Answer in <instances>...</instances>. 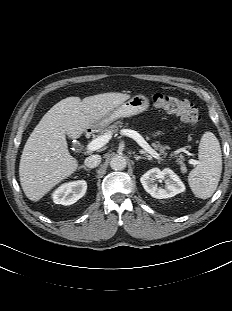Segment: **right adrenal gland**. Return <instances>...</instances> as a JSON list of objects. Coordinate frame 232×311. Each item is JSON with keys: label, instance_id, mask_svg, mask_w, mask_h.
Here are the masks:
<instances>
[{"label": "right adrenal gland", "instance_id": "right-adrenal-gland-1", "mask_svg": "<svg viewBox=\"0 0 232 311\" xmlns=\"http://www.w3.org/2000/svg\"><path fill=\"white\" fill-rule=\"evenodd\" d=\"M79 169H84V170H86V171H88V172L91 171V169L87 168V167L84 166V165H81V166L79 167Z\"/></svg>", "mask_w": 232, "mask_h": 311}]
</instances>
